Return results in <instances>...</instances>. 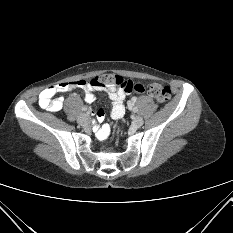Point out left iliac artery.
<instances>
[{"label":"left iliac artery","mask_w":233,"mask_h":233,"mask_svg":"<svg viewBox=\"0 0 233 233\" xmlns=\"http://www.w3.org/2000/svg\"><path fill=\"white\" fill-rule=\"evenodd\" d=\"M136 101V98L134 97V102ZM133 112L134 113H136V112H138V109L135 107V108H133Z\"/></svg>","instance_id":"obj_1"}]
</instances>
